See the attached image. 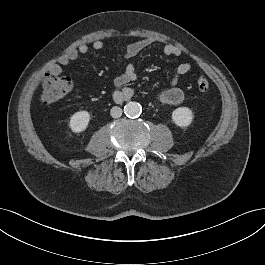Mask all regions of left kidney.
Wrapping results in <instances>:
<instances>
[{"instance_id": "obj_1", "label": "left kidney", "mask_w": 265, "mask_h": 265, "mask_svg": "<svg viewBox=\"0 0 265 265\" xmlns=\"http://www.w3.org/2000/svg\"><path fill=\"white\" fill-rule=\"evenodd\" d=\"M193 117V112L188 107H179L172 112L173 122L181 128L189 126L192 123Z\"/></svg>"}]
</instances>
